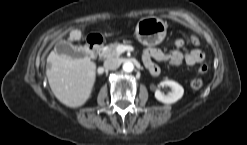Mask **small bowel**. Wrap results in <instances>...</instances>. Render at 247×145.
<instances>
[{"mask_svg": "<svg viewBox=\"0 0 247 145\" xmlns=\"http://www.w3.org/2000/svg\"><path fill=\"white\" fill-rule=\"evenodd\" d=\"M200 43L196 35H189L173 40L170 45L175 49L169 53L164 52L160 48H148L143 54V61L149 72L157 76L160 72L159 67L154 61L169 62L174 66L186 64L188 66L202 65L205 61V54L199 49L182 52L180 49L187 44L198 46Z\"/></svg>", "mask_w": 247, "mask_h": 145, "instance_id": "1", "label": "small bowel"}]
</instances>
